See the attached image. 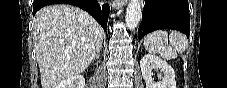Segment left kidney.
Wrapping results in <instances>:
<instances>
[{"mask_svg":"<svg viewBox=\"0 0 227 88\" xmlns=\"http://www.w3.org/2000/svg\"><path fill=\"white\" fill-rule=\"evenodd\" d=\"M140 67L146 88H176L174 69L159 57L151 54L145 55L140 61ZM153 69H160L163 73V77L158 76L157 82L153 79Z\"/></svg>","mask_w":227,"mask_h":88,"instance_id":"obj_1","label":"left kidney"}]
</instances>
